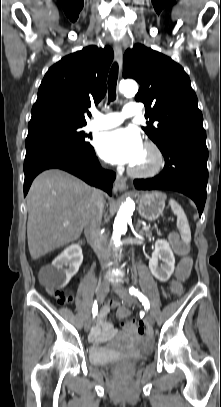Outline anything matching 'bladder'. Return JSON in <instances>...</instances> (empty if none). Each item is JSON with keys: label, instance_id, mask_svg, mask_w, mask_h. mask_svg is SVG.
Here are the masks:
<instances>
[{"label": "bladder", "instance_id": "bladder-1", "mask_svg": "<svg viewBox=\"0 0 221 407\" xmlns=\"http://www.w3.org/2000/svg\"><path fill=\"white\" fill-rule=\"evenodd\" d=\"M143 358L141 354H135L132 356L134 360H140ZM122 360V356L109 347H97L93 346L89 349V361L93 365L103 366Z\"/></svg>", "mask_w": 221, "mask_h": 407}]
</instances>
